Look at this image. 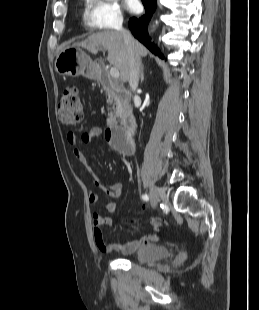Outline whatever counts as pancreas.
<instances>
[{
  "mask_svg": "<svg viewBox=\"0 0 259 310\" xmlns=\"http://www.w3.org/2000/svg\"><path fill=\"white\" fill-rule=\"evenodd\" d=\"M112 99L115 100L116 105H117V110L115 111V109L113 108V111H111L108 116V123L110 124H115L117 122V118L120 116L121 114V105L120 102L117 100V97L115 95H112Z\"/></svg>",
  "mask_w": 259,
  "mask_h": 310,
  "instance_id": "pancreas-1",
  "label": "pancreas"
}]
</instances>
